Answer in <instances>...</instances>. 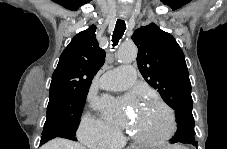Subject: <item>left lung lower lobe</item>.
Masks as SVG:
<instances>
[{
  "instance_id": "1",
  "label": "left lung lower lobe",
  "mask_w": 227,
  "mask_h": 149,
  "mask_svg": "<svg viewBox=\"0 0 227 149\" xmlns=\"http://www.w3.org/2000/svg\"><path fill=\"white\" fill-rule=\"evenodd\" d=\"M171 143H187L191 144L193 146H197V141L195 140V135L190 134V135H175L172 139H170Z\"/></svg>"
}]
</instances>
